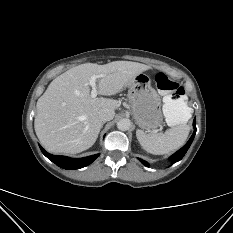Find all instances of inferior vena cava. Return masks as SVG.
Wrapping results in <instances>:
<instances>
[{"label": "inferior vena cava", "mask_w": 233, "mask_h": 233, "mask_svg": "<svg viewBox=\"0 0 233 233\" xmlns=\"http://www.w3.org/2000/svg\"><path fill=\"white\" fill-rule=\"evenodd\" d=\"M114 116H115V112L114 110L111 109H101L98 112V117L103 122L112 120Z\"/></svg>", "instance_id": "602c4592"}]
</instances>
